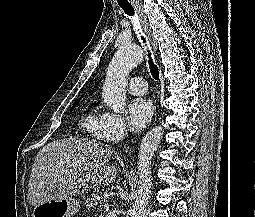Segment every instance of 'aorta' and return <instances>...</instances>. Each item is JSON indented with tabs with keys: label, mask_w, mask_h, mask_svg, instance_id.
<instances>
[{
	"label": "aorta",
	"mask_w": 255,
	"mask_h": 217,
	"mask_svg": "<svg viewBox=\"0 0 255 217\" xmlns=\"http://www.w3.org/2000/svg\"><path fill=\"white\" fill-rule=\"evenodd\" d=\"M144 58L140 47L123 44L119 46L106 72L102 90V98L106 105L115 113L124 112L126 105L127 78L130 71ZM163 129L155 127L143 138L138 155L139 186L137 197L129 211L130 217H143L151 193V161L157 150Z\"/></svg>",
	"instance_id": "aorta-1"
}]
</instances>
